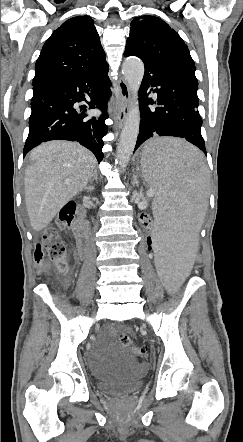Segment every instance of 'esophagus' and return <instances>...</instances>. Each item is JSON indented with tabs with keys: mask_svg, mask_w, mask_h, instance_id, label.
<instances>
[{
	"mask_svg": "<svg viewBox=\"0 0 243 442\" xmlns=\"http://www.w3.org/2000/svg\"><path fill=\"white\" fill-rule=\"evenodd\" d=\"M130 89L123 79L119 81V91L116 95L115 122L121 128L125 122L129 111Z\"/></svg>",
	"mask_w": 243,
	"mask_h": 442,
	"instance_id": "esophagus-1",
	"label": "esophagus"
}]
</instances>
